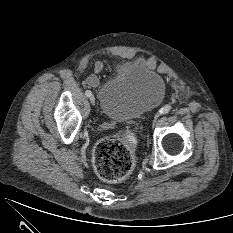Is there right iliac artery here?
<instances>
[{
	"label": "right iliac artery",
	"instance_id": "82829eb1",
	"mask_svg": "<svg viewBox=\"0 0 233 233\" xmlns=\"http://www.w3.org/2000/svg\"><path fill=\"white\" fill-rule=\"evenodd\" d=\"M91 94H92V92H91L90 90H87V91L85 92V95H86L87 97L91 96Z\"/></svg>",
	"mask_w": 233,
	"mask_h": 233
}]
</instances>
